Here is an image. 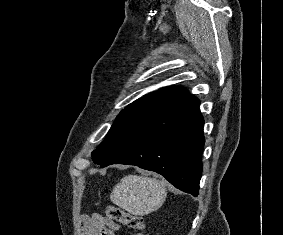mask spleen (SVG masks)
I'll use <instances>...</instances> for the list:
<instances>
[{"label":"spleen","mask_w":283,"mask_h":235,"mask_svg":"<svg viewBox=\"0 0 283 235\" xmlns=\"http://www.w3.org/2000/svg\"><path fill=\"white\" fill-rule=\"evenodd\" d=\"M167 196L166 184L156 178L128 175L112 190L113 204L127 212L144 216L162 206Z\"/></svg>","instance_id":"spleen-1"}]
</instances>
